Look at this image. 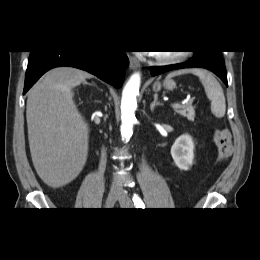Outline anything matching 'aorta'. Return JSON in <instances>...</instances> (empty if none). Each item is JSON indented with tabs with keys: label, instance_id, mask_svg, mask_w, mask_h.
I'll use <instances>...</instances> for the list:
<instances>
[{
	"label": "aorta",
	"instance_id": "762f6f07",
	"mask_svg": "<svg viewBox=\"0 0 260 260\" xmlns=\"http://www.w3.org/2000/svg\"><path fill=\"white\" fill-rule=\"evenodd\" d=\"M141 76L134 73L126 83L121 99V135L128 141L133 134L135 110L137 108V95L139 93Z\"/></svg>",
	"mask_w": 260,
	"mask_h": 260
}]
</instances>
